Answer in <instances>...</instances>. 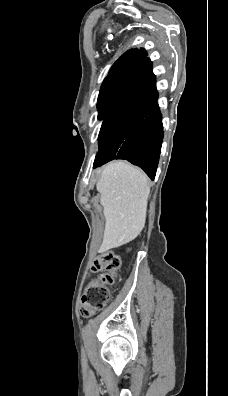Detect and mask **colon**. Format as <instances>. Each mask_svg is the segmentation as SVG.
Here are the masks:
<instances>
[{
    "label": "colon",
    "mask_w": 228,
    "mask_h": 396,
    "mask_svg": "<svg viewBox=\"0 0 228 396\" xmlns=\"http://www.w3.org/2000/svg\"><path fill=\"white\" fill-rule=\"evenodd\" d=\"M121 267V258L114 252L100 254L92 263L91 271L103 273L86 287L81 299V315L91 317L110 301V287L114 285Z\"/></svg>",
    "instance_id": "5ec220e1"
}]
</instances>
